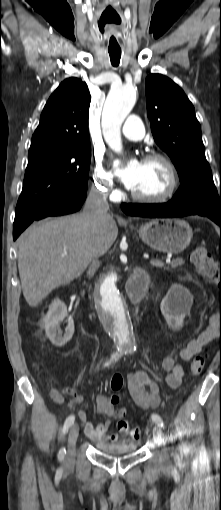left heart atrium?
I'll return each instance as SVG.
<instances>
[{"instance_id":"39dd6f15","label":"left heart atrium","mask_w":221,"mask_h":510,"mask_svg":"<svg viewBox=\"0 0 221 510\" xmlns=\"http://www.w3.org/2000/svg\"><path fill=\"white\" fill-rule=\"evenodd\" d=\"M116 172L127 189L133 190L136 186L142 167V162L136 158H132L124 164L117 159L114 162Z\"/></svg>"}]
</instances>
